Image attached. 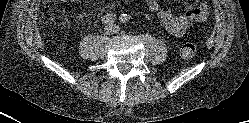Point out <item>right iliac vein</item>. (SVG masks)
I'll use <instances>...</instances> for the list:
<instances>
[{
	"mask_svg": "<svg viewBox=\"0 0 249 123\" xmlns=\"http://www.w3.org/2000/svg\"><path fill=\"white\" fill-rule=\"evenodd\" d=\"M113 32H114V30H113L112 26H108V27L105 28V33L106 34L110 35Z\"/></svg>",
	"mask_w": 249,
	"mask_h": 123,
	"instance_id": "right-iliac-vein-1",
	"label": "right iliac vein"
}]
</instances>
